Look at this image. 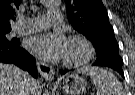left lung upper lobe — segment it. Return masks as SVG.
<instances>
[{
    "label": "left lung upper lobe",
    "instance_id": "1",
    "mask_svg": "<svg viewBox=\"0 0 135 95\" xmlns=\"http://www.w3.org/2000/svg\"><path fill=\"white\" fill-rule=\"evenodd\" d=\"M67 15L75 30L90 40L98 57L119 55V46L101 0H65Z\"/></svg>",
    "mask_w": 135,
    "mask_h": 95
}]
</instances>
